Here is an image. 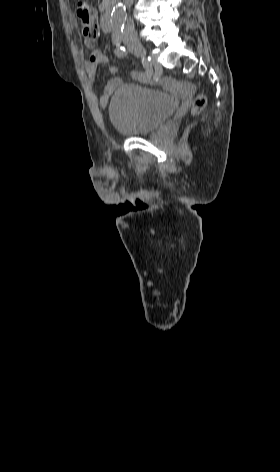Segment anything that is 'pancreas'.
<instances>
[{
  "label": "pancreas",
  "mask_w": 280,
  "mask_h": 472,
  "mask_svg": "<svg viewBox=\"0 0 280 472\" xmlns=\"http://www.w3.org/2000/svg\"><path fill=\"white\" fill-rule=\"evenodd\" d=\"M108 0H103V2H107Z\"/></svg>",
  "instance_id": "obj_1"
}]
</instances>
